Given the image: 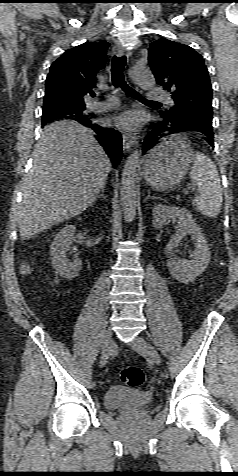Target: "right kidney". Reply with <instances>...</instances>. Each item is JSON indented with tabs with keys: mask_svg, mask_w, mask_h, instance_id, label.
<instances>
[{
	"mask_svg": "<svg viewBox=\"0 0 238 476\" xmlns=\"http://www.w3.org/2000/svg\"><path fill=\"white\" fill-rule=\"evenodd\" d=\"M76 227L73 225H67L55 236L51 246V264L55 270V273L62 278L71 280L78 276L81 269L82 261L77 256L73 261H69L66 257V252L71 250L77 251V247L72 246L75 240Z\"/></svg>",
	"mask_w": 238,
	"mask_h": 476,
	"instance_id": "1",
	"label": "right kidney"
}]
</instances>
